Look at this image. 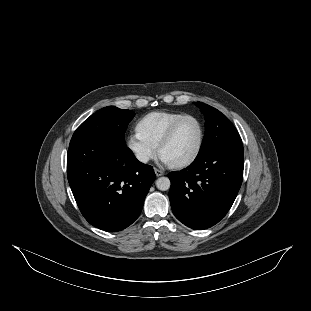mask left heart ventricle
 Listing matches in <instances>:
<instances>
[{
	"label": "left heart ventricle",
	"mask_w": 311,
	"mask_h": 311,
	"mask_svg": "<svg viewBox=\"0 0 311 311\" xmlns=\"http://www.w3.org/2000/svg\"><path fill=\"white\" fill-rule=\"evenodd\" d=\"M200 138L199 122L195 118H188L178 128L173 141L163 149L161 157L170 165L185 162L195 154Z\"/></svg>",
	"instance_id": "obj_1"
}]
</instances>
